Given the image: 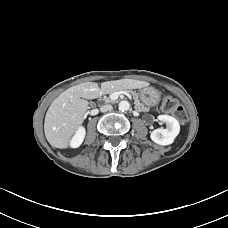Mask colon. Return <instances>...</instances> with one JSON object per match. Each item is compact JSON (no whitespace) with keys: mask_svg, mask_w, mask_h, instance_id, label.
<instances>
[{"mask_svg":"<svg viewBox=\"0 0 228 228\" xmlns=\"http://www.w3.org/2000/svg\"><path fill=\"white\" fill-rule=\"evenodd\" d=\"M162 108L166 113L173 115L179 122H185L187 114L179 101L171 96H164Z\"/></svg>","mask_w":228,"mask_h":228,"instance_id":"obj_1","label":"colon"}]
</instances>
